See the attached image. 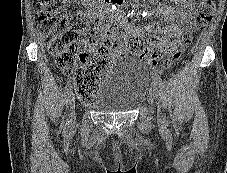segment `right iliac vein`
Returning a JSON list of instances; mask_svg holds the SVG:
<instances>
[{
	"label": "right iliac vein",
	"instance_id": "right-iliac-vein-1",
	"mask_svg": "<svg viewBox=\"0 0 227 173\" xmlns=\"http://www.w3.org/2000/svg\"><path fill=\"white\" fill-rule=\"evenodd\" d=\"M76 120V113H75V97L73 92L70 94L69 97V123L71 125L75 124Z\"/></svg>",
	"mask_w": 227,
	"mask_h": 173
}]
</instances>
